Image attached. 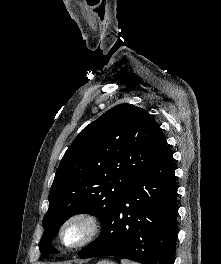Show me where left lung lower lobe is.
I'll return each mask as SVG.
<instances>
[{
    "label": "left lung lower lobe",
    "mask_w": 221,
    "mask_h": 264,
    "mask_svg": "<svg viewBox=\"0 0 221 264\" xmlns=\"http://www.w3.org/2000/svg\"><path fill=\"white\" fill-rule=\"evenodd\" d=\"M168 145L156 162L136 179L102 222L101 235L78 252L142 264H174L177 239V185Z\"/></svg>",
    "instance_id": "1"
}]
</instances>
